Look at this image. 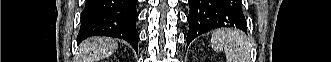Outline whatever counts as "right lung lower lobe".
I'll use <instances>...</instances> for the list:
<instances>
[{
	"mask_svg": "<svg viewBox=\"0 0 331 62\" xmlns=\"http://www.w3.org/2000/svg\"><path fill=\"white\" fill-rule=\"evenodd\" d=\"M138 0H86L81 14L78 43L91 36L121 38L138 52L136 21Z\"/></svg>",
	"mask_w": 331,
	"mask_h": 62,
	"instance_id": "obj_1",
	"label": "right lung lower lobe"
}]
</instances>
